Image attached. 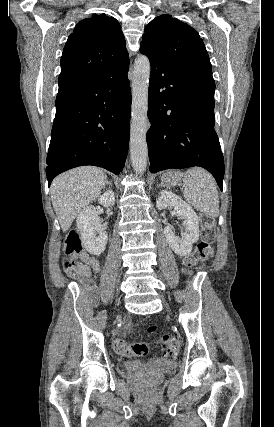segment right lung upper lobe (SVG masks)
Returning <instances> with one entry per match:
<instances>
[{
    "mask_svg": "<svg viewBox=\"0 0 274 427\" xmlns=\"http://www.w3.org/2000/svg\"><path fill=\"white\" fill-rule=\"evenodd\" d=\"M129 65L119 22L105 14L81 20L61 57L58 97L93 85Z\"/></svg>",
    "mask_w": 274,
    "mask_h": 427,
    "instance_id": "right-lung-upper-lobe-1",
    "label": "right lung upper lobe"
}]
</instances>
